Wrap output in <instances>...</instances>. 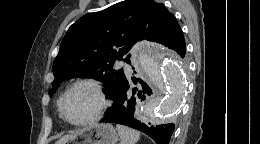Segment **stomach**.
<instances>
[{
	"label": "stomach",
	"instance_id": "0dacf381",
	"mask_svg": "<svg viewBox=\"0 0 260 144\" xmlns=\"http://www.w3.org/2000/svg\"><path fill=\"white\" fill-rule=\"evenodd\" d=\"M118 134L111 124H97L81 130L69 141L71 144H116Z\"/></svg>",
	"mask_w": 260,
	"mask_h": 144
}]
</instances>
